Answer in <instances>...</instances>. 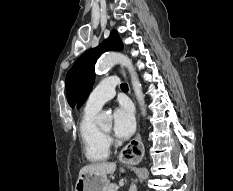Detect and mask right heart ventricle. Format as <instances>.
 <instances>
[{
    "instance_id": "1",
    "label": "right heart ventricle",
    "mask_w": 233,
    "mask_h": 191,
    "mask_svg": "<svg viewBox=\"0 0 233 191\" xmlns=\"http://www.w3.org/2000/svg\"><path fill=\"white\" fill-rule=\"evenodd\" d=\"M97 111L85 110L79 123V136L83 151L90 162L105 161L109 156L106 136L94 122Z\"/></svg>"
}]
</instances>
